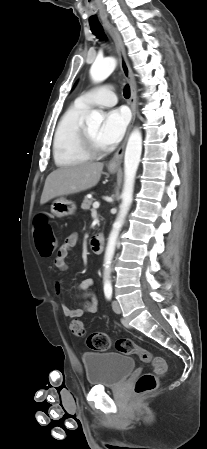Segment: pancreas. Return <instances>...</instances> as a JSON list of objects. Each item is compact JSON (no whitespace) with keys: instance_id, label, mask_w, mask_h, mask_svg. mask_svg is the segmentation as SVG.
<instances>
[{"instance_id":"cf45deb5","label":"pancreas","mask_w":207,"mask_h":449,"mask_svg":"<svg viewBox=\"0 0 207 449\" xmlns=\"http://www.w3.org/2000/svg\"><path fill=\"white\" fill-rule=\"evenodd\" d=\"M93 201H94V199L85 197L83 200V203L81 204V208L83 210H89Z\"/></svg>"}]
</instances>
